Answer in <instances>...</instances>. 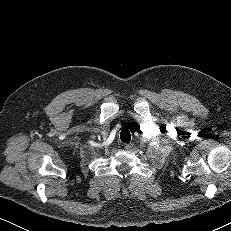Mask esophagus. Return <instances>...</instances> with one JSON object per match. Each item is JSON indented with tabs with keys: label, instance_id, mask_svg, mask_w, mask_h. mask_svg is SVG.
Wrapping results in <instances>:
<instances>
[{
	"label": "esophagus",
	"instance_id": "1",
	"mask_svg": "<svg viewBox=\"0 0 231 231\" xmlns=\"http://www.w3.org/2000/svg\"><path fill=\"white\" fill-rule=\"evenodd\" d=\"M132 147H133V144H132V143H126V144L124 145V148H125L126 150H131Z\"/></svg>",
	"mask_w": 231,
	"mask_h": 231
}]
</instances>
